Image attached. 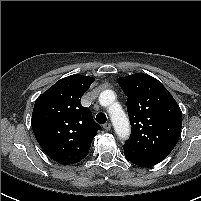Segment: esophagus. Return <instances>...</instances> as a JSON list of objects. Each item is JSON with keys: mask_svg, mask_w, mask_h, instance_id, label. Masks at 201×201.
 Listing matches in <instances>:
<instances>
[{"mask_svg": "<svg viewBox=\"0 0 201 201\" xmlns=\"http://www.w3.org/2000/svg\"><path fill=\"white\" fill-rule=\"evenodd\" d=\"M103 128H104L106 131H109V130H111V124H110V123H105V124L103 125Z\"/></svg>", "mask_w": 201, "mask_h": 201, "instance_id": "obj_1", "label": "esophagus"}]
</instances>
